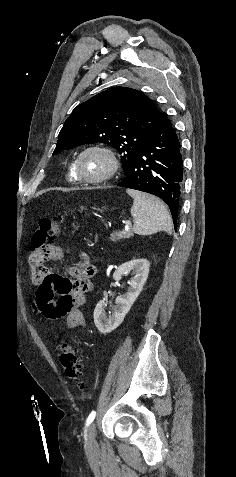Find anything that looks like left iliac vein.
Instances as JSON below:
<instances>
[{
    "instance_id": "4c4485c4",
    "label": "left iliac vein",
    "mask_w": 236,
    "mask_h": 477,
    "mask_svg": "<svg viewBox=\"0 0 236 477\" xmlns=\"http://www.w3.org/2000/svg\"><path fill=\"white\" fill-rule=\"evenodd\" d=\"M100 420L99 418L97 419ZM98 425L97 421H94L92 425L88 427L87 431V446L89 449L97 448V441H96V427Z\"/></svg>"
}]
</instances>
